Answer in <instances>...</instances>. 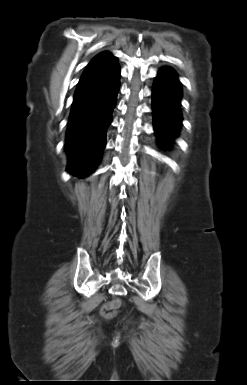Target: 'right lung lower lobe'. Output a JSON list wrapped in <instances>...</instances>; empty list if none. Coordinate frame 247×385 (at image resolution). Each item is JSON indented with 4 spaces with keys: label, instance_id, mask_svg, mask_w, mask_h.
Returning a JSON list of instances; mask_svg holds the SVG:
<instances>
[{
    "label": "right lung lower lobe",
    "instance_id": "1",
    "mask_svg": "<svg viewBox=\"0 0 247 385\" xmlns=\"http://www.w3.org/2000/svg\"><path fill=\"white\" fill-rule=\"evenodd\" d=\"M119 87L120 67L116 61L80 78L66 133L68 172L89 175L99 163Z\"/></svg>",
    "mask_w": 247,
    "mask_h": 385
}]
</instances>
